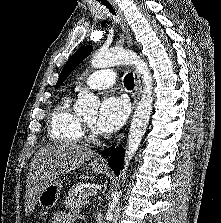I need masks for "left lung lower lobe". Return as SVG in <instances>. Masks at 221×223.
Here are the masks:
<instances>
[{
  "mask_svg": "<svg viewBox=\"0 0 221 223\" xmlns=\"http://www.w3.org/2000/svg\"><path fill=\"white\" fill-rule=\"evenodd\" d=\"M102 154L106 156L111 155V157L108 160V163L118 176L120 170H122L123 168V162H124L123 148L121 146L117 148L112 146L109 149L104 150Z\"/></svg>",
  "mask_w": 221,
  "mask_h": 223,
  "instance_id": "left-lung-lower-lobe-1",
  "label": "left lung lower lobe"
}]
</instances>
